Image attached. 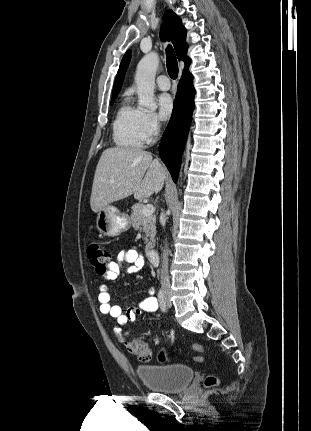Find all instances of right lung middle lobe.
<instances>
[{"instance_id": "obj_1", "label": "right lung middle lobe", "mask_w": 311, "mask_h": 431, "mask_svg": "<svg viewBox=\"0 0 311 431\" xmlns=\"http://www.w3.org/2000/svg\"><path fill=\"white\" fill-rule=\"evenodd\" d=\"M116 99V97H113L112 99H111V105H112V103L114 102V100Z\"/></svg>"}]
</instances>
